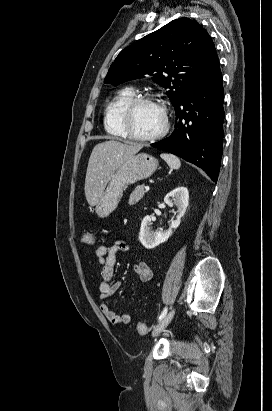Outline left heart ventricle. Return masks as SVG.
I'll use <instances>...</instances> for the list:
<instances>
[{"instance_id":"left-heart-ventricle-1","label":"left heart ventricle","mask_w":272,"mask_h":411,"mask_svg":"<svg viewBox=\"0 0 272 411\" xmlns=\"http://www.w3.org/2000/svg\"><path fill=\"white\" fill-rule=\"evenodd\" d=\"M163 125V115L160 107L154 103L138 105L132 117V128L141 136L157 133Z\"/></svg>"}]
</instances>
